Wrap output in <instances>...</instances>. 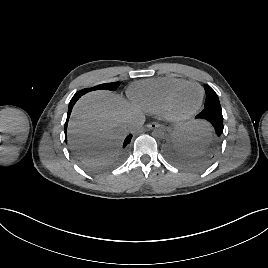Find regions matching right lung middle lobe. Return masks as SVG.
Instances as JSON below:
<instances>
[{
    "label": "right lung middle lobe",
    "mask_w": 268,
    "mask_h": 268,
    "mask_svg": "<svg viewBox=\"0 0 268 268\" xmlns=\"http://www.w3.org/2000/svg\"><path fill=\"white\" fill-rule=\"evenodd\" d=\"M120 85V82H112V83H104L97 86H94L92 88H86L81 91H78L77 94H80L81 96L94 90H110L115 91L118 86Z\"/></svg>",
    "instance_id": "1"
}]
</instances>
